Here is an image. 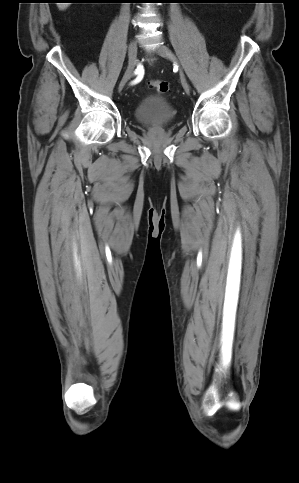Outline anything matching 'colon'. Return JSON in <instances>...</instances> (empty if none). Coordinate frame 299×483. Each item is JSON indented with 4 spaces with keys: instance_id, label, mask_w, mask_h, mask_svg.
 Segmentation results:
<instances>
[{
    "instance_id": "obj_1",
    "label": "colon",
    "mask_w": 299,
    "mask_h": 483,
    "mask_svg": "<svg viewBox=\"0 0 299 483\" xmlns=\"http://www.w3.org/2000/svg\"><path fill=\"white\" fill-rule=\"evenodd\" d=\"M149 87L160 94H164L169 90V83L165 80L154 79L149 82Z\"/></svg>"
}]
</instances>
